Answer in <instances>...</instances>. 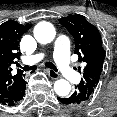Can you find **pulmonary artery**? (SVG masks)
I'll use <instances>...</instances> for the list:
<instances>
[{
    "mask_svg": "<svg viewBox=\"0 0 117 117\" xmlns=\"http://www.w3.org/2000/svg\"><path fill=\"white\" fill-rule=\"evenodd\" d=\"M69 40L66 37L58 36L54 42V60L59 71L70 81H79L80 76L75 71L69 57ZM41 55L34 56L33 59L40 58Z\"/></svg>",
    "mask_w": 117,
    "mask_h": 117,
    "instance_id": "obj_1",
    "label": "pulmonary artery"
}]
</instances>
